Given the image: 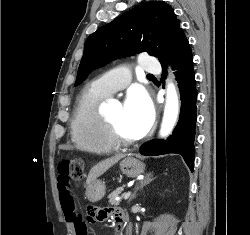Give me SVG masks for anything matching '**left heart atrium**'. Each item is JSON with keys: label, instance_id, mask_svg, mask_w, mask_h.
Instances as JSON below:
<instances>
[{"label": "left heart atrium", "instance_id": "1", "mask_svg": "<svg viewBox=\"0 0 250 235\" xmlns=\"http://www.w3.org/2000/svg\"><path fill=\"white\" fill-rule=\"evenodd\" d=\"M124 111L138 138L149 131L154 121V108L145 91L131 90L125 100Z\"/></svg>", "mask_w": 250, "mask_h": 235}]
</instances>
